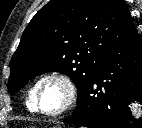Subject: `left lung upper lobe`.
<instances>
[{
  "instance_id": "1",
  "label": "left lung upper lobe",
  "mask_w": 142,
  "mask_h": 128,
  "mask_svg": "<svg viewBox=\"0 0 142 128\" xmlns=\"http://www.w3.org/2000/svg\"><path fill=\"white\" fill-rule=\"evenodd\" d=\"M137 32L124 0H50L32 18L10 62L11 94L49 71L71 77L77 104L104 56Z\"/></svg>"
}]
</instances>
